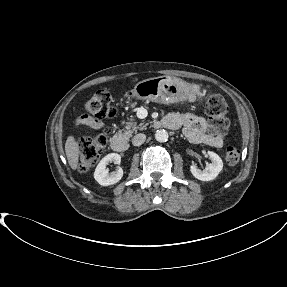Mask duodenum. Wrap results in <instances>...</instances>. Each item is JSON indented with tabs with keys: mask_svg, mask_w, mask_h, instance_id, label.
<instances>
[{
	"mask_svg": "<svg viewBox=\"0 0 287 287\" xmlns=\"http://www.w3.org/2000/svg\"><path fill=\"white\" fill-rule=\"evenodd\" d=\"M162 124L167 128H170V129L173 128V124L166 118H164V120L162 121ZM110 143H111L112 149L115 152L122 153V152L127 151L129 148L128 140L122 134H114L111 137Z\"/></svg>",
	"mask_w": 287,
	"mask_h": 287,
	"instance_id": "410a0bca",
	"label": "duodenum"
}]
</instances>
